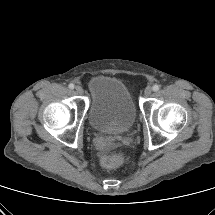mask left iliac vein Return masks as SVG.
<instances>
[{
	"mask_svg": "<svg viewBox=\"0 0 215 215\" xmlns=\"http://www.w3.org/2000/svg\"><path fill=\"white\" fill-rule=\"evenodd\" d=\"M152 94V88L151 87H147L144 91V95L146 97H149Z\"/></svg>",
	"mask_w": 215,
	"mask_h": 215,
	"instance_id": "obj_1",
	"label": "left iliac vein"
}]
</instances>
